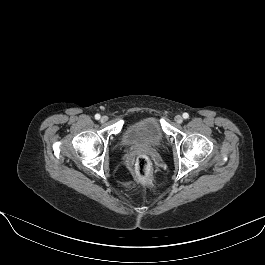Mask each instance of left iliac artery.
<instances>
[{
	"mask_svg": "<svg viewBox=\"0 0 265 265\" xmlns=\"http://www.w3.org/2000/svg\"><path fill=\"white\" fill-rule=\"evenodd\" d=\"M189 117V114L188 113H183V118L184 119H187Z\"/></svg>",
	"mask_w": 265,
	"mask_h": 265,
	"instance_id": "44dca946",
	"label": "left iliac artery"
}]
</instances>
